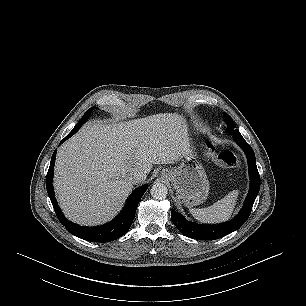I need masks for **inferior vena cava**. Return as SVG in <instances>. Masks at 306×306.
I'll return each instance as SVG.
<instances>
[{
  "instance_id": "inferior-vena-cava-1",
  "label": "inferior vena cava",
  "mask_w": 306,
  "mask_h": 306,
  "mask_svg": "<svg viewBox=\"0 0 306 306\" xmlns=\"http://www.w3.org/2000/svg\"><path fill=\"white\" fill-rule=\"evenodd\" d=\"M146 179V174L142 171H133L130 173L129 180L132 184H139Z\"/></svg>"
}]
</instances>
